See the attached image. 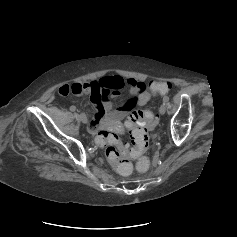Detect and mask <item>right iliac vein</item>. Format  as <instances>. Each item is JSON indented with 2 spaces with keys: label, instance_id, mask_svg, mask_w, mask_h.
I'll use <instances>...</instances> for the list:
<instances>
[{
  "label": "right iliac vein",
  "instance_id": "obj_1",
  "mask_svg": "<svg viewBox=\"0 0 237 237\" xmlns=\"http://www.w3.org/2000/svg\"><path fill=\"white\" fill-rule=\"evenodd\" d=\"M79 118L82 121V123H84V124L87 123V121H88V119L84 113H81Z\"/></svg>",
  "mask_w": 237,
  "mask_h": 237
}]
</instances>
